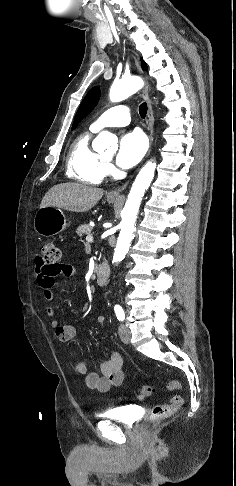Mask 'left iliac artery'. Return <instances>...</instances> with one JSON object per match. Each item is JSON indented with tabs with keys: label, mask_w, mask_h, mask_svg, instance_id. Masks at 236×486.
I'll return each instance as SVG.
<instances>
[{
	"label": "left iliac artery",
	"mask_w": 236,
	"mask_h": 486,
	"mask_svg": "<svg viewBox=\"0 0 236 486\" xmlns=\"http://www.w3.org/2000/svg\"><path fill=\"white\" fill-rule=\"evenodd\" d=\"M114 310H115V314H116L117 319L119 321H123L125 314H124L122 307L120 305H115Z\"/></svg>",
	"instance_id": "1"
}]
</instances>
